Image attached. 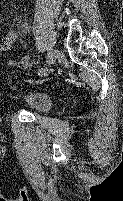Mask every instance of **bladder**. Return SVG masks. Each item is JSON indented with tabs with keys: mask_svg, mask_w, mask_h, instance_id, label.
<instances>
[{
	"mask_svg": "<svg viewBox=\"0 0 123 201\" xmlns=\"http://www.w3.org/2000/svg\"><path fill=\"white\" fill-rule=\"evenodd\" d=\"M5 76H11L10 73H5ZM10 85L18 89L17 81L10 80ZM15 101L24 108L36 113H45L52 108L53 100L48 91L41 89H30L25 91L20 97H16Z\"/></svg>",
	"mask_w": 123,
	"mask_h": 201,
	"instance_id": "31cf9c89",
	"label": "bladder"
}]
</instances>
